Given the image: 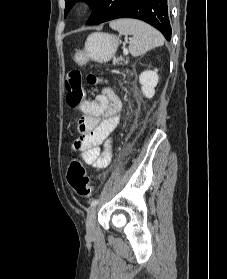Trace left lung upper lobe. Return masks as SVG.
Returning a JSON list of instances; mask_svg holds the SVG:
<instances>
[{"mask_svg":"<svg viewBox=\"0 0 227 279\" xmlns=\"http://www.w3.org/2000/svg\"><path fill=\"white\" fill-rule=\"evenodd\" d=\"M75 1H79V0H65V2H66V7H65V11H64L65 17L68 14V12L70 11V9L72 8ZM84 1L87 2L91 6V8H94V6L96 5L98 0H84Z\"/></svg>","mask_w":227,"mask_h":279,"instance_id":"left-lung-upper-lobe-1","label":"left lung upper lobe"}]
</instances>
